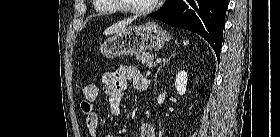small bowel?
Returning <instances> with one entry per match:
<instances>
[{"instance_id": "1", "label": "small bowel", "mask_w": 280, "mask_h": 137, "mask_svg": "<svg viewBox=\"0 0 280 137\" xmlns=\"http://www.w3.org/2000/svg\"><path fill=\"white\" fill-rule=\"evenodd\" d=\"M131 82L137 91H145L148 80L133 66L121 65L116 70L105 73L102 76V83L105 93L109 96V114L112 117L120 115V101ZM81 110L85 115L86 128L91 136L95 135L99 124V116L94 109V103L84 101L81 103ZM105 137H113L106 135ZM139 137H154V128L149 123H143L139 129Z\"/></svg>"}]
</instances>
